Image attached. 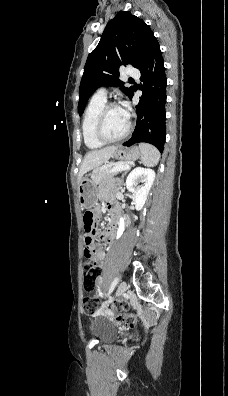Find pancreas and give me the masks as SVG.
Here are the masks:
<instances>
[{"label": "pancreas", "mask_w": 228, "mask_h": 396, "mask_svg": "<svg viewBox=\"0 0 228 396\" xmlns=\"http://www.w3.org/2000/svg\"><path fill=\"white\" fill-rule=\"evenodd\" d=\"M113 167H114V165H107V166H104L103 168H99V169L95 170L92 175V180L96 184H100L103 181H105L109 178H112L114 175L117 174V172H110Z\"/></svg>", "instance_id": "obj_1"}]
</instances>
